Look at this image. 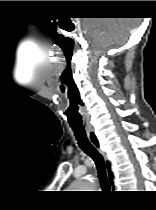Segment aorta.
Instances as JSON below:
<instances>
[{"mask_svg": "<svg viewBox=\"0 0 156 210\" xmlns=\"http://www.w3.org/2000/svg\"><path fill=\"white\" fill-rule=\"evenodd\" d=\"M74 189H81L79 191H84V189H93V178L91 176H86L80 179L73 185Z\"/></svg>", "mask_w": 156, "mask_h": 210, "instance_id": "obj_1", "label": "aorta"}]
</instances>
